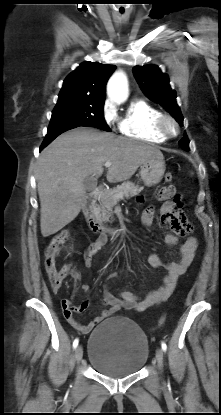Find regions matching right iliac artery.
I'll list each match as a JSON object with an SVG mask.
<instances>
[{
	"mask_svg": "<svg viewBox=\"0 0 221 415\" xmlns=\"http://www.w3.org/2000/svg\"><path fill=\"white\" fill-rule=\"evenodd\" d=\"M79 340L76 338L73 342V348H76L78 346Z\"/></svg>",
	"mask_w": 221,
	"mask_h": 415,
	"instance_id": "1",
	"label": "right iliac artery"
}]
</instances>
